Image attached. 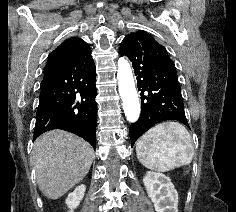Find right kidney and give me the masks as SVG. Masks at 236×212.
I'll return each instance as SVG.
<instances>
[{
  "label": "right kidney",
  "mask_w": 236,
  "mask_h": 212,
  "mask_svg": "<svg viewBox=\"0 0 236 212\" xmlns=\"http://www.w3.org/2000/svg\"><path fill=\"white\" fill-rule=\"evenodd\" d=\"M85 190H86L85 185H79L75 188L73 192L68 194L65 203L67 207L70 209L69 212H73V210L78 207L80 201L84 197Z\"/></svg>",
  "instance_id": "right-kidney-1"
}]
</instances>
